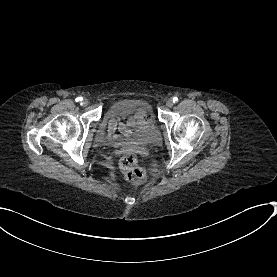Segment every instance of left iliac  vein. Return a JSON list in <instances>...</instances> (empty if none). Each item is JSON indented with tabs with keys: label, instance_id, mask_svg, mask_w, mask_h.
Masks as SVG:
<instances>
[{
	"label": "left iliac vein",
	"instance_id": "obj_1",
	"mask_svg": "<svg viewBox=\"0 0 277 277\" xmlns=\"http://www.w3.org/2000/svg\"><path fill=\"white\" fill-rule=\"evenodd\" d=\"M173 105H174L173 100L172 99H168L167 102H166V106L171 108Z\"/></svg>",
	"mask_w": 277,
	"mask_h": 277
}]
</instances>
